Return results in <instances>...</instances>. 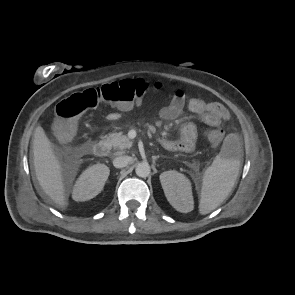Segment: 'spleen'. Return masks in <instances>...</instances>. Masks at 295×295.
Listing matches in <instances>:
<instances>
[{
	"label": "spleen",
	"mask_w": 295,
	"mask_h": 295,
	"mask_svg": "<svg viewBox=\"0 0 295 295\" xmlns=\"http://www.w3.org/2000/svg\"><path fill=\"white\" fill-rule=\"evenodd\" d=\"M237 150L236 136L227 135L221 152L204 172L199 201L200 214L205 215L216 209L232 190L240 170V161L234 155Z\"/></svg>",
	"instance_id": "spleen-1"
}]
</instances>
